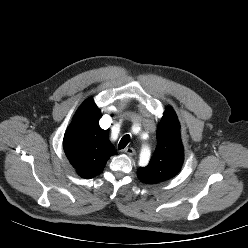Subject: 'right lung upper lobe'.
<instances>
[{"instance_id": "1", "label": "right lung upper lobe", "mask_w": 248, "mask_h": 248, "mask_svg": "<svg viewBox=\"0 0 248 248\" xmlns=\"http://www.w3.org/2000/svg\"><path fill=\"white\" fill-rule=\"evenodd\" d=\"M100 116L93 99H87L64 135L65 154L78 175L85 179L99 175L107 160L116 154L106 130L99 126Z\"/></svg>"}]
</instances>
